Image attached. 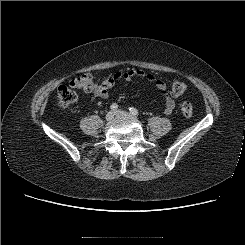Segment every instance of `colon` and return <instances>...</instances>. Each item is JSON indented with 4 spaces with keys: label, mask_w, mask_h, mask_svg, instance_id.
<instances>
[{
    "label": "colon",
    "mask_w": 245,
    "mask_h": 245,
    "mask_svg": "<svg viewBox=\"0 0 245 245\" xmlns=\"http://www.w3.org/2000/svg\"><path fill=\"white\" fill-rule=\"evenodd\" d=\"M96 84L93 76L89 73H83L74 78L68 85H61L57 89V102L61 107H68L73 104L77 97L76 90H82L85 92L95 91ZM187 92V85L184 82L175 81L172 86L170 93L172 96H182ZM181 111L187 118L192 117L193 107L190 102H183L181 105Z\"/></svg>",
    "instance_id": "1"
}]
</instances>
